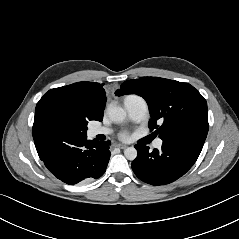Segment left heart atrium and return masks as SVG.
Returning <instances> with one entry per match:
<instances>
[{"label":"left heart atrium","mask_w":239,"mask_h":239,"mask_svg":"<svg viewBox=\"0 0 239 239\" xmlns=\"http://www.w3.org/2000/svg\"><path fill=\"white\" fill-rule=\"evenodd\" d=\"M120 136H121V138H123V139L128 138L127 132H122V133L120 134Z\"/></svg>","instance_id":"obj_1"}]
</instances>
